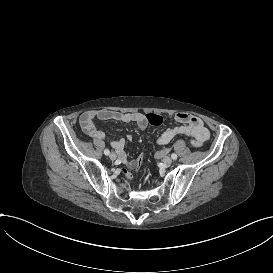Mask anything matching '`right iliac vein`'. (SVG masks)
<instances>
[{"label":"right iliac vein","instance_id":"obj_1","mask_svg":"<svg viewBox=\"0 0 273 273\" xmlns=\"http://www.w3.org/2000/svg\"><path fill=\"white\" fill-rule=\"evenodd\" d=\"M109 158L113 161V160H115L116 159V153L115 152H111L110 154H109Z\"/></svg>","mask_w":273,"mask_h":273}]
</instances>
